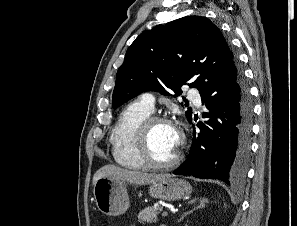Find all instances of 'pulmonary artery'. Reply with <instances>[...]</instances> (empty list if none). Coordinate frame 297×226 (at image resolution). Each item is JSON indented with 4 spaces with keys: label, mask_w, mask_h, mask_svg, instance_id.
Returning <instances> with one entry per match:
<instances>
[{
    "label": "pulmonary artery",
    "mask_w": 297,
    "mask_h": 226,
    "mask_svg": "<svg viewBox=\"0 0 297 226\" xmlns=\"http://www.w3.org/2000/svg\"><path fill=\"white\" fill-rule=\"evenodd\" d=\"M188 97L194 101L196 104L200 105V95L197 89L192 88L188 92ZM140 101L148 107L150 110H154L155 107V98L152 93L146 92L140 96Z\"/></svg>",
    "instance_id": "pulmonary-artery-1"
}]
</instances>
